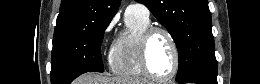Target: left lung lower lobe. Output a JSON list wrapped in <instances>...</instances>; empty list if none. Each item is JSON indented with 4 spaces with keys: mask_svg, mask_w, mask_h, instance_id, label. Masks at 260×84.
Listing matches in <instances>:
<instances>
[{
    "mask_svg": "<svg viewBox=\"0 0 260 84\" xmlns=\"http://www.w3.org/2000/svg\"><path fill=\"white\" fill-rule=\"evenodd\" d=\"M216 78L217 77H212V76H199V77L191 78L186 82H193L197 84H217Z\"/></svg>",
    "mask_w": 260,
    "mask_h": 84,
    "instance_id": "0a47b994",
    "label": "left lung lower lobe"
}]
</instances>
